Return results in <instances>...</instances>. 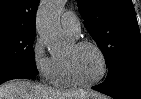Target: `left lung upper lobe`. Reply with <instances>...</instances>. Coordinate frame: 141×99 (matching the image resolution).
Wrapping results in <instances>:
<instances>
[{"label": "left lung upper lobe", "mask_w": 141, "mask_h": 99, "mask_svg": "<svg viewBox=\"0 0 141 99\" xmlns=\"http://www.w3.org/2000/svg\"><path fill=\"white\" fill-rule=\"evenodd\" d=\"M79 11L101 49L108 75L141 71V37L131 0H78Z\"/></svg>", "instance_id": "left-lung-upper-lobe-1"}]
</instances>
